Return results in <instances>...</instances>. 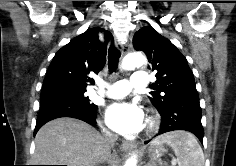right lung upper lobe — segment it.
I'll return each mask as SVG.
<instances>
[{
  "instance_id": "cb5924a9",
  "label": "right lung upper lobe",
  "mask_w": 236,
  "mask_h": 166,
  "mask_svg": "<svg viewBox=\"0 0 236 166\" xmlns=\"http://www.w3.org/2000/svg\"><path fill=\"white\" fill-rule=\"evenodd\" d=\"M99 32L104 33V42L99 40ZM111 39V33L101 28H89L72 39L55 54L42 89L54 86L86 89L87 83L93 84L87 75L104 67L107 43Z\"/></svg>"
}]
</instances>
